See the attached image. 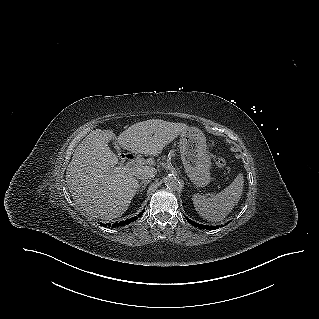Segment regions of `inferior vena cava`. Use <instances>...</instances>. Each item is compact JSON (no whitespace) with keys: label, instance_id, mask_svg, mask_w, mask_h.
I'll return each mask as SVG.
<instances>
[{"label":"inferior vena cava","instance_id":"1","mask_svg":"<svg viewBox=\"0 0 319 319\" xmlns=\"http://www.w3.org/2000/svg\"><path fill=\"white\" fill-rule=\"evenodd\" d=\"M155 175H156L155 169H145V170H139L135 176L138 179L147 180V179L153 178Z\"/></svg>","mask_w":319,"mask_h":319}]
</instances>
